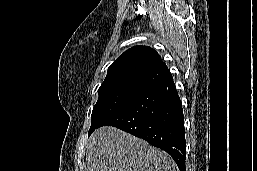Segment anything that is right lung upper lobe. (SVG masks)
<instances>
[{
    "mask_svg": "<svg viewBox=\"0 0 257 171\" xmlns=\"http://www.w3.org/2000/svg\"><path fill=\"white\" fill-rule=\"evenodd\" d=\"M171 77L160 55L149 46H133L122 53L108 68L100 88L110 86L147 89Z\"/></svg>",
    "mask_w": 257,
    "mask_h": 171,
    "instance_id": "right-lung-upper-lobe-1",
    "label": "right lung upper lobe"
}]
</instances>
